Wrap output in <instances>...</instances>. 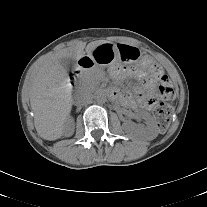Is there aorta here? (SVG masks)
<instances>
[{"mask_svg":"<svg viewBox=\"0 0 207 207\" xmlns=\"http://www.w3.org/2000/svg\"><path fill=\"white\" fill-rule=\"evenodd\" d=\"M95 99L98 104H104L107 101V95L104 92H99Z\"/></svg>","mask_w":207,"mask_h":207,"instance_id":"obj_1","label":"aorta"}]
</instances>
